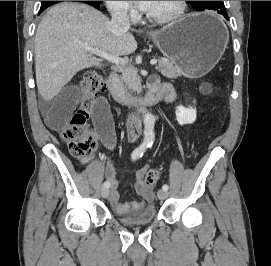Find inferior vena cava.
Masks as SVG:
<instances>
[{"label":"inferior vena cava","instance_id":"inferior-vena-cava-1","mask_svg":"<svg viewBox=\"0 0 271 266\" xmlns=\"http://www.w3.org/2000/svg\"><path fill=\"white\" fill-rule=\"evenodd\" d=\"M130 28V21L127 16V7L119 6L112 10L110 29L116 37L126 33Z\"/></svg>","mask_w":271,"mask_h":266}]
</instances>
